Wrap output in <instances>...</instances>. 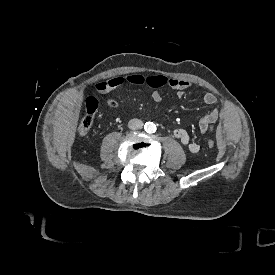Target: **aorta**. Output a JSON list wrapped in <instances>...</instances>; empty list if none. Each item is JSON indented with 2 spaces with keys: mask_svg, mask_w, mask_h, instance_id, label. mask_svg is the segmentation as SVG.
I'll use <instances>...</instances> for the list:
<instances>
[{
  "mask_svg": "<svg viewBox=\"0 0 275 275\" xmlns=\"http://www.w3.org/2000/svg\"><path fill=\"white\" fill-rule=\"evenodd\" d=\"M145 130L147 133H154L156 131V125L153 122H147Z\"/></svg>",
  "mask_w": 275,
  "mask_h": 275,
  "instance_id": "762f6f07",
  "label": "aorta"
}]
</instances>
